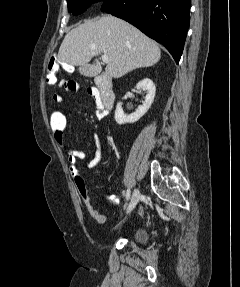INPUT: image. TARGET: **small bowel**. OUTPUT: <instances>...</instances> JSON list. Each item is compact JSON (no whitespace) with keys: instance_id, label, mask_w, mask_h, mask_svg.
<instances>
[{"instance_id":"c3829d8e","label":"small bowel","mask_w":240,"mask_h":287,"mask_svg":"<svg viewBox=\"0 0 240 287\" xmlns=\"http://www.w3.org/2000/svg\"><path fill=\"white\" fill-rule=\"evenodd\" d=\"M87 93L95 100L96 106H97V116L100 118H104L108 115V110L103 106L102 101L100 99L99 91L95 87H88ZM52 100L55 103H61L63 101V97L55 93L52 95ZM55 141L63 148H65L64 140H63V134L62 135H54ZM94 144H95V151L93 154L92 159H90L86 165L88 169H94L96 168L102 159V144L100 141V138L97 135H94ZM88 158V155L86 152L68 148L67 149V161L69 165V171L72 175H77L78 173V167L77 162L79 160H86ZM108 200L110 203H115L117 201V198L115 196H109Z\"/></svg>"}]
</instances>
